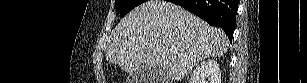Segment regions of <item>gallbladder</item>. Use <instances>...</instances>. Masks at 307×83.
I'll return each instance as SVG.
<instances>
[{
    "instance_id": "bac80fb5",
    "label": "gallbladder",
    "mask_w": 307,
    "mask_h": 83,
    "mask_svg": "<svg viewBox=\"0 0 307 83\" xmlns=\"http://www.w3.org/2000/svg\"><path fill=\"white\" fill-rule=\"evenodd\" d=\"M166 73L159 67L143 68L130 73L128 80L130 83H164Z\"/></svg>"
}]
</instances>
